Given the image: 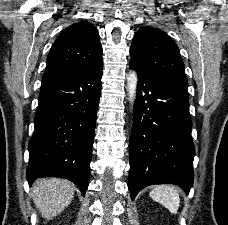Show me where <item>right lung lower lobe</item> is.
Returning a JSON list of instances; mask_svg holds the SVG:
<instances>
[{
    "instance_id": "98d812e1",
    "label": "right lung lower lobe",
    "mask_w": 228,
    "mask_h": 225,
    "mask_svg": "<svg viewBox=\"0 0 228 225\" xmlns=\"http://www.w3.org/2000/svg\"><path fill=\"white\" fill-rule=\"evenodd\" d=\"M103 59L77 73L43 81L29 142L26 176L62 177L85 194L102 88Z\"/></svg>"
}]
</instances>
